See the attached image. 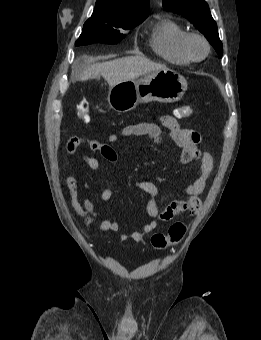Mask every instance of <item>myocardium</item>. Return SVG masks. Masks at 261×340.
Segmentation results:
<instances>
[{
    "instance_id": "myocardium-1",
    "label": "myocardium",
    "mask_w": 261,
    "mask_h": 340,
    "mask_svg": "<svg viewBox=\"0 0 261 340\" xmlns=\"http://www.w3.org/2000/svg\"><path fill=\"white\" fill-rule=\"evenodd\" d=\"M193 39H199L200 41L203 42L204 46H205V53L202 57H196L190 48V42ZM182 48L183 51L185 52V54L192 60V61H202L204 60L210 53V43L208 41V39L200 32H196V31H192V32H187L182 40Z\"/></svg>"
}]
</instances>
